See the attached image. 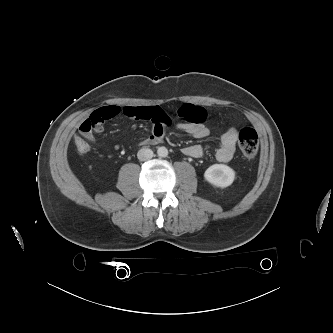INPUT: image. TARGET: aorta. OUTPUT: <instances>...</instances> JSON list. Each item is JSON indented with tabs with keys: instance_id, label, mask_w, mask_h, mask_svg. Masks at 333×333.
<instances>
[{
	"instance_id": "762f6f07",
	"label": "aorta",
	"mask_w": 333,
	"mask_h": 333,
	"mask_svg": "<svg viewBox=\"0 0 333 333\" xmlns=\"http://www.w3.org/2000/svg\"><path fill=\"white\" fill-rule=\"evenodd\" d=\"M157 154L159 157H167L168 156V150L166 147L162 146V147H159L158 150H157Z\"/></svg>"
}]
</instances>
